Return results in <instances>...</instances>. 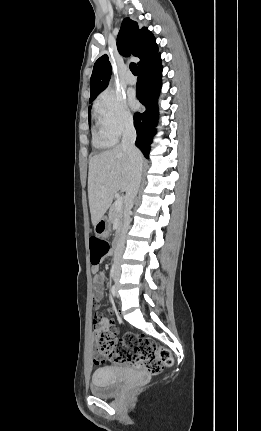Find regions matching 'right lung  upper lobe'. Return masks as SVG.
Wrapping results in <instances>:
<instances>
[{
	"mask_svg": "<svg viewBox=\"0 0 261 431\" xmlns=\"http://www.w3.org/2000/svg\"><path fill=\"white\" fill-rule=\"evenodd\" d=\"M117 48L123 56L130 54L138 57V68L158 52L152 33L145 27L139 29L137 22L129 17L122 22L117 37ZM111 76V64L108 56H101L94 64L90 79V99H95L107 86Z\"/></svg>",
	"mask_w": 261,
	"mask_h": 431,
	"instance_id": "obj_1",
	"label": "right lung upper lobe"
}]
</instances>
